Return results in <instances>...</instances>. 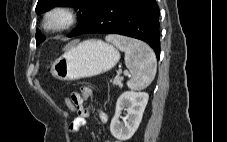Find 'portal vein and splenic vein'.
<instances>
[{
    "label": "portal vein and splenic vein",
    "instance_id": "portal-vein-and-splenic-vein-1",
    "mask_svg": "<svg viewBox=\"0 0 227 142\" xmlns=\"http://www.w3.org/2000/svg\"><path fill=\"white\" fill-rule=\"evenodd\" d=\"M120 73H122V71H121V70H119V71H118V74H120ZM124 74H125V75H128V74H129V72L126 70V71H124Z\"/></svg>",
    "mask_w": 227,
    "mask_h": 142
}]
</instances>
